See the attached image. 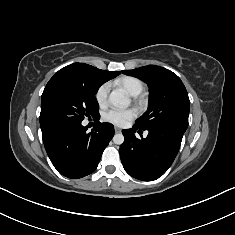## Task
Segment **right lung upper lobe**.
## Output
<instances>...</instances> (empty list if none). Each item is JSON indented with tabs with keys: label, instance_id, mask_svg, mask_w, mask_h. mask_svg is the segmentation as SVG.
<instances>
[{
	"label": "right lung upper lobe",
	"instance_id": "cb5924a9",
	"mask_svg": "<svg viewBox=\"0 0 235 235\" xmlns=\"http://www.w3.org/2000/svg\"><path fill=\"white\" fill-rule=\"evenodd\" d=\"M59 72L69 73L85 81L95 83L100 86L106 81L113 79L120 74L118 71H104L84 63H74L68 65L59 70Z\"/></svg>",
	"mask_w": 235,
	"mask_h": 235
}]
</instances>
